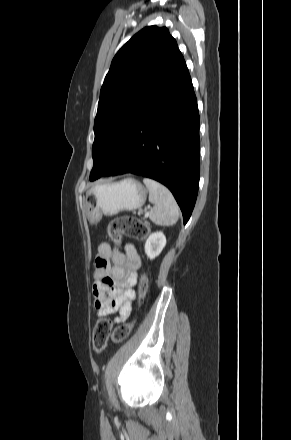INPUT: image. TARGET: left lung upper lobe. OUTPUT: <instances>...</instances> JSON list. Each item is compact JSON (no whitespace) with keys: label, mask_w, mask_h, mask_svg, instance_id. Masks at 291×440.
Instances as JSON below:
<instances>
[{"label":"left lung upper lobe","mask_w":291,"mask_h":440,"mask_svg":"<svg viewBox=\"0 0 291 440\" xmlns=\"http://www.w3.org/2000/svg\"><path fill=\"white\" fill-rule=\"evenodd\" d=\"M183 60L165 27H145L117 52L102 85L94 121L91 181L101 177L142 112Z\"/></svg>","instance_id":"obj_1"}]
</instances>
